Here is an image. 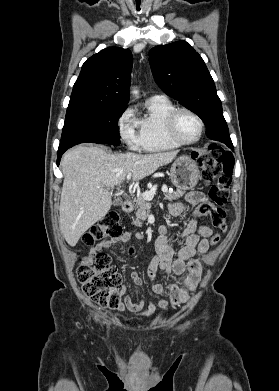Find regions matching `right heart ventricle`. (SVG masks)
Listing matches in <instances>:
<instances>
[{
    "label": "right heart ventricle",
    "mask_w": 279,
    "mask_h": 391,
    "mask_svg": "<svg viewBox=\"0 0 279 391\" xmlns=\"http://www.w3.org/2000/svg\"><path fill=\"white\" fill-rule=\"evenodd\" d=\"M175 107L165 96H154L147 101L146 113L138 119L141 150L162 152L180 147L169 138L166 129V118Z\"/></svg>",
    "instance_id": "e07e8e85"
}]
</instances>
